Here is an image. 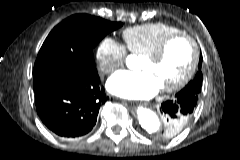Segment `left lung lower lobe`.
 <instances>
[{"mask_svg": "<svg viewBox=\"0 0 240 160\" xmlns=\"http://www.w3.org/2000/svg\"><path fill=\"white\" fill-rule=\"evenodd\" d=\"M198 101V95L188 90H181L175 99L168 100L161 105V111L168 123V129L175 133L183 129L185 125H178L177 120L181 117L191 116Z\"/></svg>", "mask_w": 240, "mask_h": 160, "instance_id": "0a47b994", "label": "left lung lower lobe"}]
</instances>
